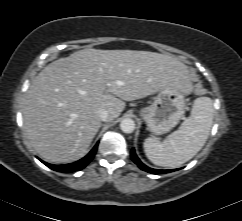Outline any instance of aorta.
Returning a JSON list of instances; mask_svg holds the SVG:
<instances>
[{
  "label": "aorta",
  "mask_w": 242,
  "mask_h": 221,
  "mask_svg": "<svg viewBox=\"0 0 242 221\" xmlns=\"http://www.w3.org/2000/svg\"><path fill=\"white\" fill-rule=\"evenodd\" d=\"M120 128L124 133H132L135 130V122L130 118L123 119Z\"/></svg>",
  "instance_id": "1"
}]
</instances>
